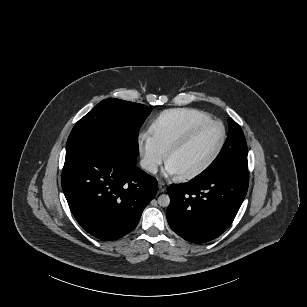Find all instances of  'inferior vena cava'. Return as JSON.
I'll list each match as a JSON object with an SVG mask.
<instances>
[{"mask_svg":"<svg viewBox=\"0 0 307 307\" xmlns=\"http://www.w3.org/2000/svg\"><path fill=\"white\" fill-rule=\"evenodd\" d=\"M140 166L141 168L147 170V171H150L152 173H157L158 171V166L155 162H152L148 159H142L140 161Z\"/></svg>","mask_w":307,"mask_h":307,"instance_id":"1","label":"inferior vena cava"}]
</instances>
